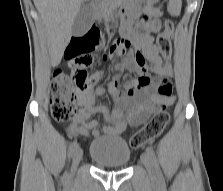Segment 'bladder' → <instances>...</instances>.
Listing matches in <instances>:
<instances>
[{"label": "bladder", "instance_id": "31cf9c89", "mask_svg": "<svg viewBox=\"0 0 223 191\" xmlns=\"http://www.w3.org/2000/svg\"><path fill=\"white\" fill-rule=\"evenodd\" d=\"M90 158L99 166L124 168L131 159L126 140L119 136H104L92 141Z\"/></svg>", "mask_w": 223, "mask_h": 191}]
</instances>
